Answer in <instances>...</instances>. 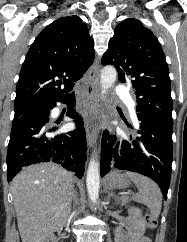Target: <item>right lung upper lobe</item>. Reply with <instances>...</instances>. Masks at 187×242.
I'll return each instance as SVG.
<instances>
[{
	"mask_svg": "<svg viewBox=\"0 0 187 242\" xmlns=\"http://www.w3.org/2000/svg\"><path fill=\"white\" fill-rule=\"evenodd\" d=\"M95 58L87 26L76 16L48 25L31 45L16 87L14 108L68 96Z\"/></svg>",
	"mask_w": 187,
	"mask_h": 242,
	"instance_id": "cb5924a9",
	"label": "right lung upper lobe"
}]
</instances>
